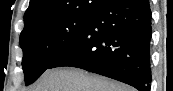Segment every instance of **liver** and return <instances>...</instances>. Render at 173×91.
<instances>
[{
  "instance_id": "6515ba94",
  "label": "liver",
  "mask_w": 173,
  "mask_h": 91,
  "mask_svg": "<svg viewBox=\"0 0 173 91\" xmlns=\"http://www.w3.org/2000/svg\"><path fill=\"white\" fill-rule=\"evenodd\" d=\"M28 91H134L133 88L104 76L75 67L46 70Z\"/></svg>"
}]
</instances>
